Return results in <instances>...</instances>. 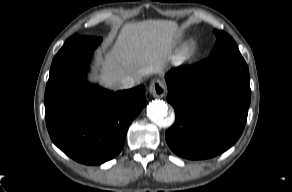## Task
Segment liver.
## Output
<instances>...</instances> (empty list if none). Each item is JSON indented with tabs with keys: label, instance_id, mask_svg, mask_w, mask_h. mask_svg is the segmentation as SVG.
I'll return each mask as SVG.
<instances>
[{
	"label": "liver",
	"instance_id": "1",
	"mask_svg": "<svg viewBox=\"0 0 292 192\" xmlns=\"http://www.w3.org/2000/svg\"><path fill=\"white\" fill-rule=\"evenodd\" d=\"M180 32L176 22L145 20L125 24L110 50L99 57L101 80L109 88L120 89V81L131 76L138 83L143 77L163 73Z\"/></svg>",
	"mask_w": 292,
	"mask_h": 192
}]
</instances>
